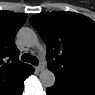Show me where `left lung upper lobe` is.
Masks as SVG:
<instances>
[{
	"label": "left lung upper lobe",
	"mask_w": 95,
	"mask_h": 95,
	"mask_svg": "<svg viewBox=\"0 0 95 95\" xmlns=\"http://www.w3.org/2000/svg\"><path fill=\"white\" fill-rule=\"evenodd\" d=\"M29 21L47 45V66L56 78L95 84V23L91 19L72 12H45Z\"/></svg>",
	"instance_id": "1"
}]
</instances>
